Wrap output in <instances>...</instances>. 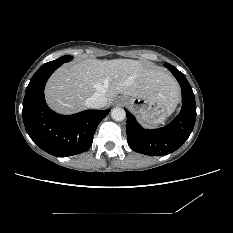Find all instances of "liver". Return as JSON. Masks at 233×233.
I'll return each mask as SVG.
<instances>
[{"instance_id": "liver-1", "label": "liver", "mask_w": 233, "mask_h": 233, "mask_svg": "<svg viewBox=\"0 0 233 233\" xmlns=\"http://www.w3.org/2000/svg\"><path fill=\"white\" fill-rule=\"evenodd\" d=\"M96 92L103 93L107 103L123 94L156 99L172 108L180 97L177 82L161 68L131 59H85L56 70L46 84L45 98L51 109L67 115L83 110Z\"/></svg>"}]
</instances>
